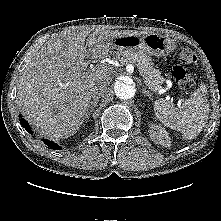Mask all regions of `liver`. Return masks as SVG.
Wrapping results in <instances>:
<instances>
[{"mask_svg":"<svg viewBox=\"0 0 221 221\" xmlns=\"http://www.w3.org/2000/svg\"><path fill=\"white\" fill-rule=\"evenodd\" d=\"M88 34L67 31L49 40L22 73L19 107L42 135L57 139L74 135L84 122L92 89L99 84L108 89L111 70H89L86 58L105 55L117 37L144 33L95 31L86 39Z\"/></svg>","mask_w":221,"mask_h":221,"instance_id":"1","label":"liver"}]
</instances>
